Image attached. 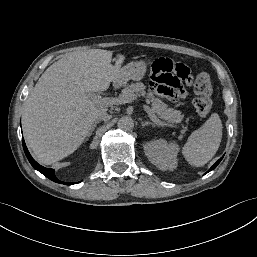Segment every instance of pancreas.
Listing matches in <instances>:
<instances>
[{
    "label": "pancreas",
    "instance_id": "1",
    "mask_svg": "<svg viewBox=\"0 0 257 257\" xmlns=\"http://www.w3.org/2000/svg\"><path fill=\"white\" fill-rule=\"evenodd\" d=\"M145 85L141 82L131 84L122 90L121 95H127L130 97H137V95L145 96ZM147 100L151 103L152 111L160 119L168 123H178L182 120L183 116L179 110L168 108V106L162 102L159 98H155L154 94L149 91L146 94Z\"/></svg>",
    "mask_w": 257,
    "mask_h": 257
}]
</instances>
